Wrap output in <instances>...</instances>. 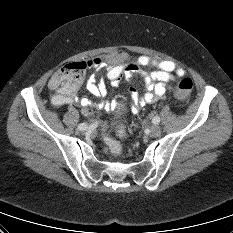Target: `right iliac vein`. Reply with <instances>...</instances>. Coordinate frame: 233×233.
I'll return each mask as SVG.
<instances>
[{"label": "right iliac vein", "instance_id": "right-iliac-vein-1", "mask_svg": "<svg viewBox=\"0 0 233 233\" xmlns=\"http://www.w3.org/2000/svg\"><path fill=\"white\" fill-rule=\"evenodd\" d=\"M90 134V128L89 127H84L82 130H81V135L82 136H87Z\"/></svg>", "mask_w": 233, "mask_h": 233}]
</instances>
